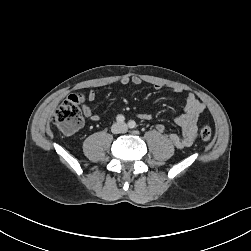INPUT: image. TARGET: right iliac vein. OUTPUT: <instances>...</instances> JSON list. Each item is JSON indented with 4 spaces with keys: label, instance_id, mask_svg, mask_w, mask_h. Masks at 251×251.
Segmentation results:
<instances>
[{
    "label": "right iliac vein",
    "instance_id": "obj_1",
    "mask_svg": "<svg viewBox=\"0 0 251 251\" xmlns=\"http://www.w3.org/2000/svg\"><path fill=\"white\" fill-rule=\"evenodd\" d=\"M118 129H119V125L118 124L113 126V131H117Z\"/></svg>",
    "mask_w": 251,
    "mask_h": 251
}]
</instances>
